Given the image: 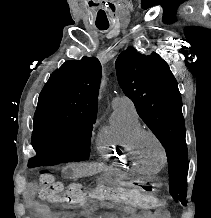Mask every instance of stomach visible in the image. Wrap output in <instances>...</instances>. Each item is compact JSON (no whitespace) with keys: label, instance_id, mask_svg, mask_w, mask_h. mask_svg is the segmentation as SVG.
I'll list each match as a JSON object with an SVG mask.
<instances>
[{"label":"stomach","instance_id":"obj_1","mask_svg":"<svg viewBox=\"0 0 211 218\" xmlns=\"http://www.w3.org/2000/svg\"><path fill=\"white\" fill-rule=\"evenodd\" d=\"M102 181L107 185H119L125 187H132L135 184L142 185L146 183V180L126 174L104 175Z\"/></svg>","mask_w":211,"mask_h":218}]
</instances>
